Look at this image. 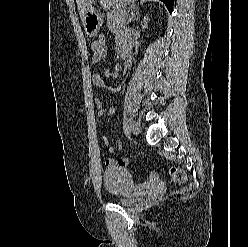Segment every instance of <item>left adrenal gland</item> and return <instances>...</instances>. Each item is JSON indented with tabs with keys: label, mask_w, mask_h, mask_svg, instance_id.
Here are the masks:
<instances>
[{
	"label": "left adrenal gland",
	"mask_w": 248,
	"mask_h": 247,
	"mask_svg": "<svg viewBox=\"0 0 248 247\" xmlns=\"http://www.w3.org/2000/svg\"><path fill=\"white\" fill-rule=\"evenodd\" d=\"M136 15H138V9L137 7H133L131 9V12H130V18H129V22H131L132 20L135 19Z\"/></svg>",
	"instance_id": "left-adrenal-gland-1"
}]
</instances>
